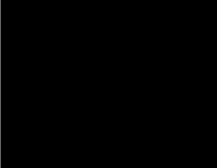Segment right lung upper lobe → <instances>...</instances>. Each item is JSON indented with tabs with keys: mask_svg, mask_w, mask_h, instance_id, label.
Returning a JSON list of instances; mask_svg holds the SVG:
<instances>
[{
	"mask_svg": "<svg viewBox=\"0 0 217 168\" xmlns=\"http://www.w3.org/2000/svg\"><path fill=\"white\" fill-rule=\"evenodd\" d=\"M94 23L83 18H67L43 32L32 44L22 70V97L29 110L74 91L71 81L64 90L55 87L63 69L64 57L78 58L83 45L91 36ZM69 67V66H67Z\"/></svg>",
	"mask_w": 217,
	"mask_h": 168,
	"instance_id": "cb5924a9",
	"label": "right lung upper lobe"
}]
</instances>
